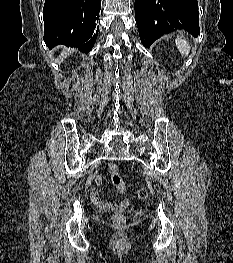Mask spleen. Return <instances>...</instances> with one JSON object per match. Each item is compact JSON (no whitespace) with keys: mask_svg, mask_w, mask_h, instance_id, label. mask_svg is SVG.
Masks as SVG:
<instances>
[{"mask_svg":"<svg viewBox=\"0 0 233 263\" xmlns=\"http://www.w3.org/2000/svg\"><path fill=\"white\" fill-rule=\"evenodd\" d=\"M176 45H177V48H178V50H179V52L181 53L182 56L186 57V56L189 55V53H190V45L185 39L177 37Z\"/></svg>","mask_w":233,"mask_h":263,"instance_id":"obj_1","label":"spleen"}]
</instances>
